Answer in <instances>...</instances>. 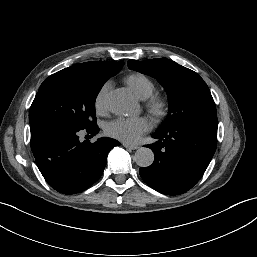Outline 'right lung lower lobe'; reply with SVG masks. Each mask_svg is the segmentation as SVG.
<instances>
[{
	"instance_id": "1",
	"label": "right lung lower lobe",
	"mask_w": 257,
	"mask_h": 257,
	"mask_svg": "<svg viewBox=\"0 0 257 257\" xmlns=\"http://www.w3.org/2000/svg\"><path fill=\"white\" fill-rule=\"evenodd\" d=\"M31 150L36 164L47 183L63 194H75L89 188L102 175L109 151L120 145L111 138L81 142L77 129L56 124H30ZM97 134V125L85 129Z\"/></svg>"
}]
</instances>
